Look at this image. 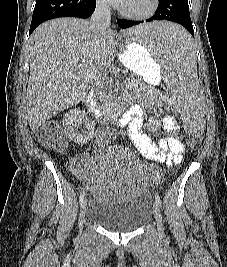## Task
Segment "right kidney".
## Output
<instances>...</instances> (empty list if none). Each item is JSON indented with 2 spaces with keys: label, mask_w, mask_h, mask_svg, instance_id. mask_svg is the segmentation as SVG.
Listing matches in <instances>:
<instances>
[{
  "label": "right kidney",
  "mask_w": 227,
  "mask_h": 267,
  "mask_svg": "<svg viewBox=\"0 0 227 267\" xmlns=\"http://www.w3.org/2000/svg\"><path fill=\"white\" fill-rule=\"evenodd\" d=\"M62 125L66 136L80 145L90 141L94 135V121L88 119L85 111L80 108H74L65 113Z\"/></svg>",
  "instance_id": "right-kidney-1"
}]
</instances>
